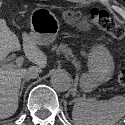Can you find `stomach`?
Returning <instances> with one entry per match:
<instances>
[{"label":"stomach","instance_id":"stomach-1","mask_svg":"<svg viewBox=\"0 0 125 125\" xmlns=\"http://www.w3.org/2000/svg\"><path fill=\"white\" fill-rule=\"evenodd\" d=\"M72 11L64 13L65 21L72 20ZM30 36L36 45H49L55 41L60 23L57 17L46 8L35 9L30 16ZM79 30L88 31L89 27L79 24ZM89 71L81 77V88L89 92L99 84L111 79L114 71V62L108 49L102 45H95L87 54Z\"/></svg>","mask_w":125,"mask_h":125}]
</instances>
